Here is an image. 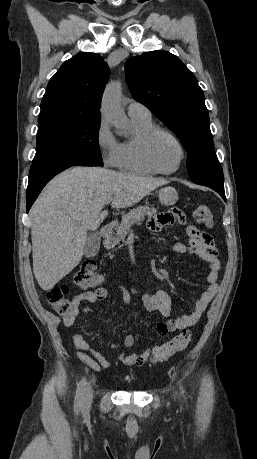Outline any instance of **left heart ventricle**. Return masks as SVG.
Masks as SVG:
<instances>
[{
    "mask_svg": "<svg viewBox=\"0 0 257 459\" xmlns=\"http://www.w3.org/2000/svg\"><path fill=\"white\" fill-rule=\"evenodd\" d=\"M152 154L156 164L166 171L176 168L181 156L176 143L166 135H159L155 139Z\"/></svg>",
    "mask_w": 257,
    "mask_h": 459,
    "instance_id": "1",
    "label": "left heart ventricle"
}]
</instances>
